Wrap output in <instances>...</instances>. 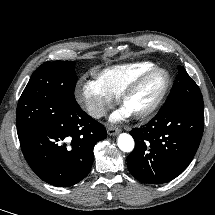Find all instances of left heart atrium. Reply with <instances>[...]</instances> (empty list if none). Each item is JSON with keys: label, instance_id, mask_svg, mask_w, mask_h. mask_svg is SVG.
Returning a JSON list of instances; mask_svg holds the SVG:
<instances>
[{"label": "left heart atrium", "instance_id": "39dd6f15", "mask_svg": "<svg viewBox=\"0 0 215 215\" xmlns=\"http://www.w3.org/2000/svg\"><path fill=\"white\" fill-rule=\"evenodd\" d=\"M129 115V112L125 109L122 108L120 110L115 111L112 116H111V120L112 121H119V120H123L124 118H126Z\"/></svg>", "mask_w": 215, "mask_h": 215}]
</instances>
